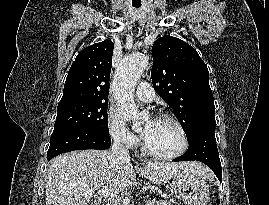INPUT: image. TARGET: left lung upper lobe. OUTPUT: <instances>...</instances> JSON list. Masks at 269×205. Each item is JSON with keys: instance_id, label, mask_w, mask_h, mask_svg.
Returning a JSON list of instances; mask_svg holds the SVG:
<instances>
[{"instance_id": "left-lung-upper-lobe-1", "label": "left lung upper lobe", "mask_w": 269, "mask_h": 205, "mask_svg": "<svg viewBox=\"0 0 269 205\" xmlns=\"http://www.w3.org/2000/svg\"><path fill=\"white\" fill-rule=\"evenodd\" d=\"M152 57L154 89L174 110L187 138L201 127L216 126L209 71L197 51L165 35L153 44Z\"/></svg>"}]
</instances>
